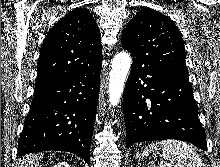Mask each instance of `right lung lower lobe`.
Returning a JSON list of instances; mask_svg holds the SVG:
<instances>
[{"label": "right lung lower lobe", "instance_id": "obj_1", "mask_svg": "<svg viewBox=\"0 0 220 167\" xmlns=\"http://www.w3.org/2000/svg\"><path fill=\"white\" fill-rule=\"evenodd\" d=\"M101 64L91 70L35 87L18 140V156L47 150L72 152L89 165L100 89Z\"/></svg>", "mask_w": 220, "mask_h": 167}]
</instances>
